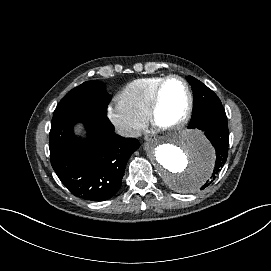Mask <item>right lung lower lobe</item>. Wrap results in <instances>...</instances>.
<instances>
[{
    "label": "right lung lower lobe",
    "instance_id": "98d812e1",
    "mask_svg": "<svg viewBox=\"0 0 271 271\" xmlns=\"http://www.w3.org/2000/svg\"><path fill=\"white\" fill-rule=\"evenodd\" d=\"M78 122L86 127L85 139L74 135L73 126ZM139 146L137 139L116 135L104 112L72 108L52 118L51 165L76 197L90 201L112 198L121 187L128 159Z\"/></svg>",
    "mask_w": 271,
    "mask_h": 271
}]
</instances>
